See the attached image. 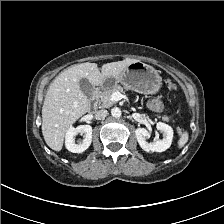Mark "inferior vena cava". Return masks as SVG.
<instances>
[{"instance_id":"obj_1","label":"inferior vena cava","mask_w":224,"mask_h":224,"mask_svg":"<svg viewBox=\"0 0 224 224\" xmlns=\"http://www.w3.org/2000/svg\"><path fill=\"white\" fill-rule=\"evenodd\" d=\"M108 115V111L105 109H101L95 112V119L101 120L104 119Z\"/></svg>"}]
</instances>
